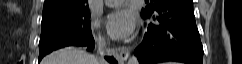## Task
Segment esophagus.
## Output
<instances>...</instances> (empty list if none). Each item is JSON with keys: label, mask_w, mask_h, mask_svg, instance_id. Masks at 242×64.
Instances as JSON below:
<instances>
[{"label": "esophagus", "mask_w": 242, "mask_h": 64, "mask_svg": "<svg viewBox=\"0 0 242 64\" xmlns=\"http://www.w3.org/2000/svg\"><path fill=\"white\" fill-rule=\"evenodd\" d=\"M119 52H120V54H119L120 61L125 62L130 55V49L127 47H122L119 50Z\"/></svg>", "instance_id": "1"}]
</instances>
